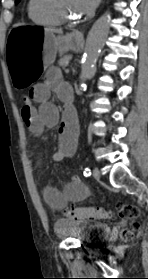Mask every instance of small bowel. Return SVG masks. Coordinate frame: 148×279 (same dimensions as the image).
I'll return each instance as SVG.
<instances>
[{
    "label": "small bowel",
    "mask_w": 148,
    "mask_h": 279,
    "mask_svg": "<svg viewBox=\"0 0 148 279\" xmlns=\"http://www.w3.org/2000/svg\"><path fill=\"white\" fill-rule=\"evenodd\" d=\"M51 92L63 101L62 108L50 102ZM32 104L24 106L21 110L22 118L27 128L35 135H40L45 128L55 127L59 124V146L53 155L55 161L72 158L77 142V119L73 107L70 105L71 91L62 81L58 68H51L46 73L43 83L36 84L30 89ZM39 104L38 108L33 103ZM89 195L88 187L78 176L71 177L63 190L46 187L43 196L53 209L63 208L69 202L84 200Z\"/></svg>",
    "instance_id": "1"
}]
</instances>
